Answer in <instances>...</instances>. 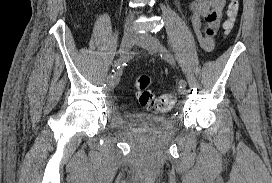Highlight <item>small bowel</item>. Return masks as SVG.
<instances>
[{
    "label": "small bowel",
    "mask_w": 272,
    "mask_h": 183,
    "mask_svg": "<svg viewBox=\"0 0 272 183\" xmlns=\"http://www.w3.org/2000/svg\"><path fill=\"white\" fill-rule=\"evenodd\" d=\"M227 0H192L185 8L200 47L211 52ZM204 21V22H203Z\"/></svg>",
    "instance_id": "small-bowel-1"
}]
</instances>
